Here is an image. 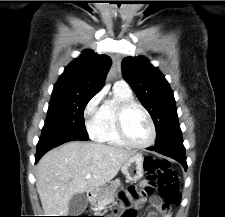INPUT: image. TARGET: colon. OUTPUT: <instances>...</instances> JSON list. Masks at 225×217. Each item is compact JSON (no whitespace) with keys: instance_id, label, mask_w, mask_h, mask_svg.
I'll list each match as a JSON object with an SVG mask.
<instances>
[{"instance_id":"5ec220e1","label":"colon","mask_w":225,"mask_h":217,"mask_svg":"<svg viewBox=\"0 0 225 217\" xmlns=\"http://www.w3.org/2000/svg\"><path fill=\"white\" fill-rule=\"evenodd\" d=\"M144 171L146 178L150 184L147 192H150L152 185H157L161 197L165 200L163 208H168L171 205H178L181 200L178 176L176 171L171 167L166 160L158 159L152 156H146L144 159ZM130 196L138 198V193L135 189H130ZM126 205H129V197L124 194L122 196ZM156 213V209H153ZM121 217H136L132 209H128L124 216Z\"/></svg>"}]
</instances>
